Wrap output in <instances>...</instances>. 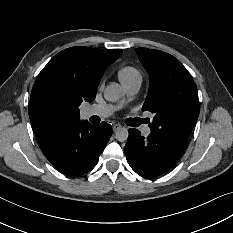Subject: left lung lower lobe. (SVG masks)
I'll return each mask as SVG.
<instances>
[{"mask_svg":"<svg viewBox=\"0 0 233 233\" xmlns=\"http://www.w3.org/2000/svg\"><path fill=\"white\" fill-rule=\"evenodd\" d=\"M128 132V142L124 147L127 161L137 174L148 179L171 169L188 144L185 139L157 133L151 132L144 138L137 129Z\"/></svg>","mask_w":233,"mask_h":233,"instance_id":"0a47b994","label":"left lung lower lobe"}]
</instances>
